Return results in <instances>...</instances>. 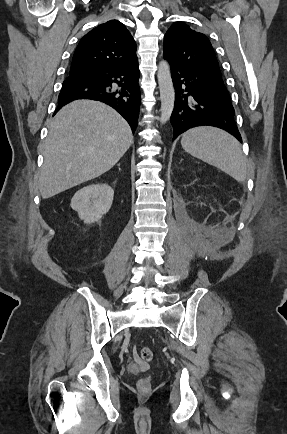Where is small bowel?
Returning a JSON list of instances; mask_svg holds the SVG:
<instances>
[{
  "instance_id": "small-bowel-1",
  "label": "small bowel",
  "mask_w": 287,
  "mask_h": 434,
  "mask_svg": "<svg viewBox=\"0 0 287 434\" xmlns=\"http://www.w3.org/2000/svg\"><path fill=\"white\" fill-rule=\"evenodd\" d=\"M137 365H138V367H139L140 369H145V368H146V364H145V363H142V362H140V361H137Z\"/></svg>"
}]
</instances>
